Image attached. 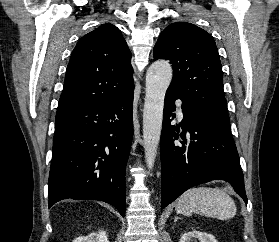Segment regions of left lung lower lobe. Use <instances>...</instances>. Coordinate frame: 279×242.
Instances as JSON below:
<instances>
[{
	"instance_id": "0a47b994",
	"label": "left lung lower lobe",
	"mask_w": 279,
	"mask_h": 242,
	"mask_svg": "<svg viewBox=\"0 0 279 242\" xmlns=\"http://www.w3.org/2000/svg\"><path fill=\"white\" fill-rule=\"evenodd\" d=\"M178 95L167 90L164 102L161 152V209L187 189L211 180H225L247 204L244 177L231 132L184 108L183 120L171 125Z\"/></svg>"
}]
</instances>
